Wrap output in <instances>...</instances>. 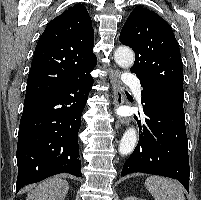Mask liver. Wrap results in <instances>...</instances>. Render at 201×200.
Wrapping results in <instances>:
<instances>
[{"mask_svg":"<svg viewBox=\"0 0 201 200\" xmlns=\"http://www.w3.org/2000/svg\"><path fill=\"white\" fill-rule=\"evenodd\" d=\"M69 190L66 180L49 178L30 191L26 200H64Z\"/></svg>","mask_w":201,"mask_h":200,"instance_id":"obj_1","label":"liver"}]
</instances>
